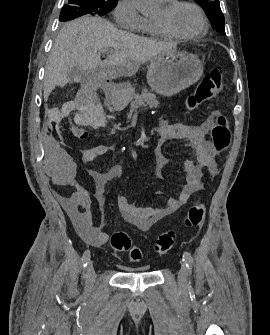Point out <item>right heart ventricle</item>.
Returning <instances> with one entry per match:
<instances>
[{
    "mask_svg": "<svg viewBox=\"0 0 270 335\" xmlns=\"http://www.w3.org/2000/svg\"><path fill=\"white\" fill-rule=\"evenodd\" d=\"M163 4L169 5L171 3H163ZM140 31H142L143 33H145L147 35L155 37V38H168L169 37V36L163 34L161 32V30L154 23V20L150 19V18H143ZM164 78H166V77H164Z\"/></svg>",
    "mask_w": 270,
    "mask_h": 335,
    "instance_id": "right-heart-ventricle-1",
    "label": "right heart ventricle"
}]
</instances>
